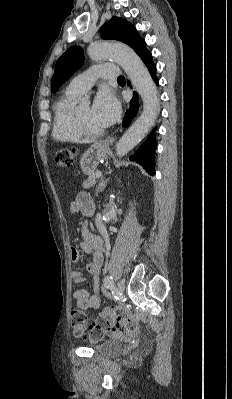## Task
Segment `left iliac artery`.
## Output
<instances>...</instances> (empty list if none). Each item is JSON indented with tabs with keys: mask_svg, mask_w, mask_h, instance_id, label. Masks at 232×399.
<instances>
[{
	"mask_svg": "<svg viewBox=\"0 0 232 399\" xmlns=\"http://www.w3.org/2000/svg\"><path fill=\"white\" fill-rule=\"evenodd\" d=\"M105 287L109 288L111 290V293L113 297L117 300L121 299V293L117 289V287L113 283V277L112 276H106L105 281H104Z\"/></svg>",
	"mask_w": 232,
	"mask_h": 399,
	"instance_id": "obj_1",
	"label": "left iliac artery"
}]
</instances>
